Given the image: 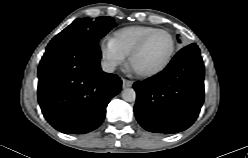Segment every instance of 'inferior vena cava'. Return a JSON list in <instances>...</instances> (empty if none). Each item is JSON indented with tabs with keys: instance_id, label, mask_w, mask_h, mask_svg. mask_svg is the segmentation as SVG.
Masks as SVG:
<instances>
[{
	"instance_id": "1",
	"label": "inferior vena cava",
	"mask_w": 248,
	"mask_h": 158,
	"mask_svg": "<svg viewBox=\"0 0 248 158\" xmlns=\"http://www.w3.org/2000/svg\"><path fill=\"white\" fill-rule=\"evenodd\" d=\"M115 63L110 61H102L101 67L104 72L112 73L115 70Z\"/></svg>"
}]
</instances>
